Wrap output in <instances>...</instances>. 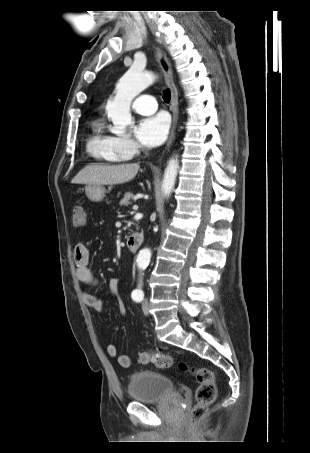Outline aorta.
<instances>
[{"mask_svg":"<svg viewBox=\"0 0 310 453\" xmlns=\"http://www.w3.org/2000/svg\"><path fill=\"white\" fill-rule=\"evenodd\" d=\"M155 76L151 72H144L142 69L132 66L118 81L116 94L113 100L108 101L106 111L112 120V132L121 135L126 127L131 124L132 117L130 107L132 100L145 88L154 82ZM179 162L177 158H171L167 164L162 181V192L169 197L176 181ZM151 258V251L142 249L137 257V265L144 268Z\"/></svg>","mask_w":310,"mask_h":453,"instance_id":"obj_1","label":"aorta"}]
</instances>
